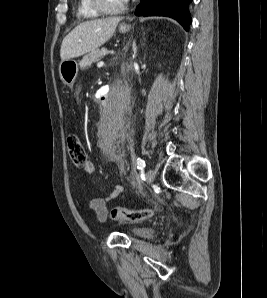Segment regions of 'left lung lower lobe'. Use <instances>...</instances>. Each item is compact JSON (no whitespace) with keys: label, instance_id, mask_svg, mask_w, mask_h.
Returning a JSON list of instances; mask_svg holds the SVG:
<instances>
[{"label":"left lung lower lobe","instance_id":"obj_1","mask_svg":"<svg viewBox=\"0 0 267 298\" xmlns=\"http://www.w3.org/2000/svg\"><path fill=\"white\" fill-rule=\"evenodd\" d=\"M192 0H141L135 15L168 16L176 19L188 31L191 16L188 5Z\"/></svg>","mask_w":267,"mask_h":298}]
</instances>
